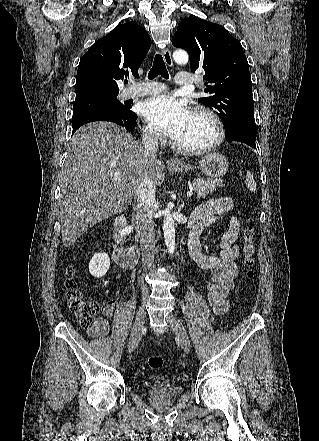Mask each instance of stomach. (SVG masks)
Instances as JSON below:
<instances>
[{
  "label": "stomach",
  "instance_id": "stomach-1",
  "mask_svg": "<svg viewBox=\"0 0 319 441\" xmlns=\"http://www.w3.org/2000/svg\"><path fill=\"white\" fill-rule=\"evenodd\" d=\"M199 164L201 171L212 178H219L228 170L227 159L218 153H211L204 156L200 160ZM173 169L177 172H187L192 169V166L189 164H184L178 167H173Z\"/></svg>",
  "mask_w": 319,
  "mask_h": 441
}]
</instances>
